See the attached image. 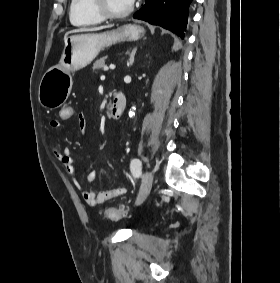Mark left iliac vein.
Returning <instances> with one entry per match:
<instances>
[{"mask_svg": "<svg viewBox=\"0 0 280 283\" xmlns=\"http://www.w3.org/2000/svg\"><path fill=\"white\" fill-rule=\"evenodd\" d=\"M152 184L153 175L150 171H146L142 177V186L136 198V205H140L146 199L151 191Z\"/></svg>", "mask_w": 280, "mask_h": 283, "instance_id": "4c4485c4", "label": "left iliac vein"}]
</instances>
